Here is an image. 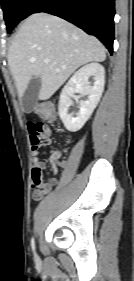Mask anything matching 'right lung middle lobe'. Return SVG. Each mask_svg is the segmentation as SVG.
<instances>
[{
    "label": "right lung middle lobe",
    "instance_id": "dd1d6c3e",
    "mask_svg": "<svg viewBox=\"0 0 134 281\" xmlns=\"http://www.w3.org/2000/svg\"><path fill=\"white\" fill-rule=\"evenodd\" d=\"M35 0H2V9L4 19L7 25V31L12 29L23 19L27 17V11Z\"/></svg>",
    "mask_w": 134,
    "mask_h": 281
}]
</instances>
